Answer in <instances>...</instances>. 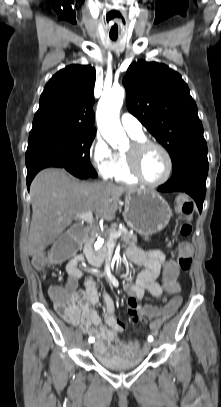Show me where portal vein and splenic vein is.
Masks as SVG:
<instances>
[{
    "label": "portal vein and splenic vein",
    "instance_id": "portal-vein-and-splenic-vein-1",
    "mask_svg": "<svg viewBox=\"0 0 221 407\" xmlns=\"http://www.w3.org/2000/svg\"><path fill=\"white\" fill-rule=\"evenodd\" d=\"M76 219L84 220L87 223H93L94 218H93V213L91 211L82 213V214H77ZM109 234L111 237L116 238L121 235L120 231H116L115 229H110Z\"/></svg>",
    "mask_w": 221,
    "mask_h": 407
}]
</instances>
